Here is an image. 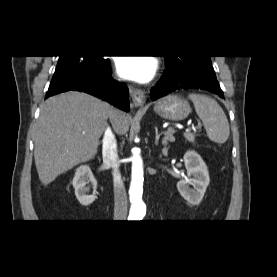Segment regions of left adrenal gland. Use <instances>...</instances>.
<instances>
[{
    "label": "left adrenal gland",
    "instance_id": "left-adrenal-gland-1",
    "mask_svg": "<svg viewBox=\"0 0 277 277\" xmlns=\"http://www.w3.org/2000/svg\"><path fill=\"white\" fill-rule=\"evenodd\" d=\"M155 134H156V137H155V145H158V143H159V138H160V136L162 135V133H160V134L158 133L157 127H155ZM168 136H169L168 134H165V137H164V140H163V145H165V143L167 142V140H170ZM165 149H166V147H165Z\"/></svg>",
    "mask_w": 277,
    "mask_h": 277
}]
</instances>
